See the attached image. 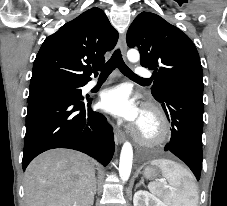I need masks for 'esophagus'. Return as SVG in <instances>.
<instances>
[{"mask_svg": "<svg viewBox=\"0 0 227 206\" xmlns=\"http://www.w3.org/2000/svg\"><path fill=\"white\" fill-rule=\"evenodd\" d=\"M119 46L123 55V59L126 60L127 45H126V35L124 33L119 38ZM114 139L116 144H122L125 139L124 132L119 128H115Z\"/></svg>", "mask_w": 227, "mask_h": 206, "instance_id": "1", "label": "esophagus"}]
</instances>
